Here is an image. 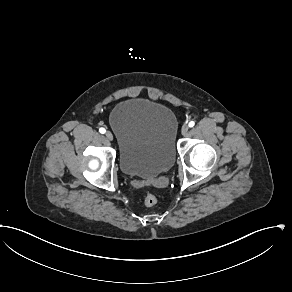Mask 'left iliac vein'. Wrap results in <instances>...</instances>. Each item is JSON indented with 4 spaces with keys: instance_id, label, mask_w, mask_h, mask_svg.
Returning <instances> with one entry per match:
<instances>
[{
    "instance_id": "1",
    "label": "left iliac vein",
    "mask_w": 292,
    "mask_h": 292,
    "mask_svg": "<svg viewBox=\"0 0 292 292\" xmlns=\"http://www.w3.org/2000/svg\"><path fill=\"white\" fill-rule=\"evenodd\" d=\"M188 131H189V126L183 125L181 128V134L185 136V135H187Z\"/></svg>"
}]
</instances>
